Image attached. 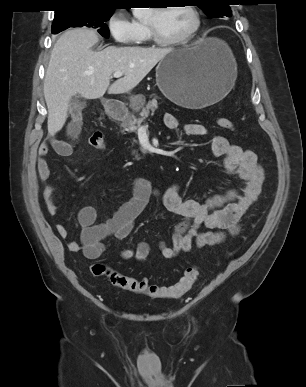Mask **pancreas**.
I'll use <instances>...</instances> for the list:
<instances>
[{
  "label": "pancreas",
  "instance_id": "cf45deb5",
  "mask_svg": "<svg viewBox=\"0 0 306 387\" xmlns=\"http://www.w3.org/2000/svg\"><path fill=\"white\" fill-rule=\"evenodd\" d=\"M145 105V96L135 95L131 97V107L135 111H140V116L136 117L134 115L127 116L123 119L122 126L126 128L129 132H136L140 127L141 123L149 116L150 111H154L158 108V103L156 98L150 100L146 106ZM133 154H137L136 151H133Z\"/></svg>",
  "mask_w": 306,
  "mask_h": 387
}]
</instances>
